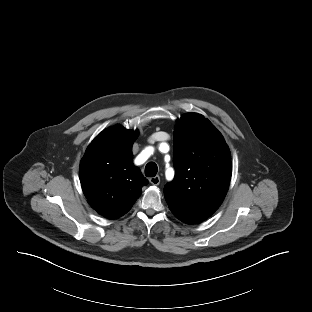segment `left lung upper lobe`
<instances>
[{
  "label": "left lung upper lobe",
  "instance_id": "left-lung-upper-lobe-1",
  "mask_svg": "<svg viewBox=\"0 0 312 312\" xmlns=\"http://www.w3.org/2000/svg\"><path fill=\"white\" fill-rule=\"evenodd\" d=\"M173 182L164 187L171 212L185 223H198L222 203L232 174L229 148L214 125L187 113L174 129Z\"/></svg>",
  "mask_w": 312,
  "mask_h": 312
}]
</instances>
